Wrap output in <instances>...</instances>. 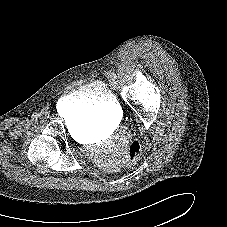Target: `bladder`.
Returning a JSON list of instances; mask_svg holds the SVG:
<instances>
[{
  "mask_svg": "<svg viewBox=\"0 0 227 227\" xmlns=\"http://www.w3.org/2000/svg\"><path fill=\"white\" fill-rule=\"evenodd\" d=\"M63 111L72 110L74 123L80 130H101L109 127L120 106L107 85L93 81L66 94L61 102Z\"/></svg>",
  "mask_w": 227,
  "mask_h": 227,
  "instance_id": "1",
  "label": "bladder"
}]
</instances>
